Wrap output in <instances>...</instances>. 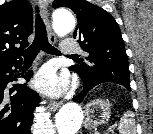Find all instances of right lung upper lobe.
I'll return each mask as SVG.
<instances>
[{"label": "right lung upper lobe", "mask_w": 153, "mask_h": 134, "mask_svg": "<svg viewBox=\"0 0 153 134\" xmlns=\"http://www.w3.org/2000/svg\"><path fill=\"white\" fill-rule=\"evenodd\" d=\"M32 32L33 13L28 1L14 0L0 5V67L22 61L20 51L29 45L27 38Z\"/></svg>", "instance_id": "1"}]
</instances>
